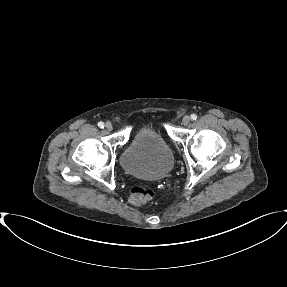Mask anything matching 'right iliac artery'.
<instances>
[{
    "mask_svg": "<svg viewBox=\"0 0 287 287\" xmlns=\"http://www.w3.org/2000/svg\"><path fill=\"white\" fill-rule=\"evenodd\" d=\"M98 126H99L100 128H104V123H103V122H99V123H98Z\"/></svg>",
    "mask_w": 287,
    "mask_h": 287,
    "instance_id": "1",
    "label": "right iliac artery"
}]
</instances>
